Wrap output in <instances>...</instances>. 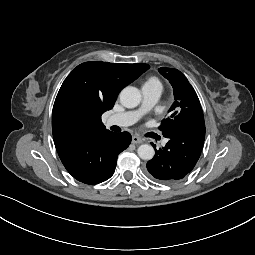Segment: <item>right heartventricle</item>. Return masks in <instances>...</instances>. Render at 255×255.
Returning <instances> with one entry per match:
<instances>
[{"instance_id":"e07e8e85","label":"right heart ventricle","mask_w":255,"mask_h":255,"mask_svg":"<svg viewBox=\"0 0 255 255\" xmlns=\"http://www.w3.org/2000/svg\"><path fill=\"white\" fill-rule=\"evenodd\" d=\"M144 86H160L161 87V82L156 77H150L147 79Z\"/></svg>"}]
</instances>
